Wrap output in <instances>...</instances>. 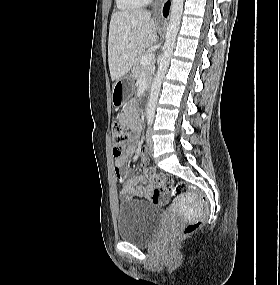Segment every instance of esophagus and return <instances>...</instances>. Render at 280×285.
Segmentation results:
<instances>
[{
  "label": "esophagus",
  "mask_w": 280,
  "mask_h": 285,
  "mask_svg": "<svg viewBox=\"0 0 280 285\" xmlns=\"http://www.w3.org/2000/svg\"><path fill=\"white\" fill-rule=\"evenodd\" d=\"M166 0H155L154 5H153V12L155 13L156 16L160 17L162 13V7Z\"/></svg>",
  "instance_id": "esophagus-1"
}]
</instances>
